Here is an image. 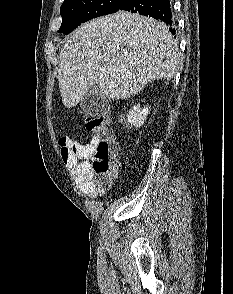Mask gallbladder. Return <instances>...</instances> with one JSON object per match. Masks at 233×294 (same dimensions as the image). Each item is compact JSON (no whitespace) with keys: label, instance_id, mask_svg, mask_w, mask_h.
<instances>
[{"label":"gallbladder","instance_id":"gallbladder-1","mask_svg":"<svg viewBox=\"0 0 233 294\" xmlns=\"http://www.w3.org/2000/svg\"><path fill=\"white\" fill-rule=\"evenodd\" d=\"M108 100L102 96L98 86H92L80 102L82 111L87 116L98 117L107 110Z\"/></svg>","mask_w":233,"mask_h":294}]
</instances>
